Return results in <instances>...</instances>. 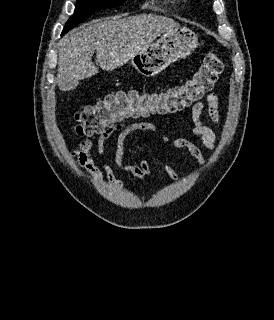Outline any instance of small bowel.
<instances>
[{
	"mask_svg": "<svg viewBox=\"0 0 274 320\" xmlns=\"http://www.w3.org/2000/svg\"><path fill=\"white\" fill-rule=\"evenodd\" d=\"M205 110L213 123L218 124L220 122L219 103L215 94L207 95L205 101H197L191 107L193 134L207 150L213 152L216 147V135L214 130L203 121L202 116ZM137 131L157 133L158 128L149 122L120 124L115 128L106 129L97 135H89L82 139L72 155L76 158L78 166L84 169L90 177L100 181L105 179L108 184L120 189L123 187V183L116 177L113 167L104 160L106 141L114 132H118L113 155L115 166L121 171L137 174L143 179H153L154 173L147 159L143 158L139 164H128L124 161L125 142L132 133ZM171 145L175 148L187 150L200 166L206 164L201 149L193 142L184 138H177L171 142ZM94 153L100 160L99 166L94 160ZM164 171L171 180H180L179 174L171 166L164 165Z\"/></svg>",
	"mask_w": 274,
	"mask_h": 320,
	"instance_id": "c3829d8e",
	"label": "small bowel"
}]
</instances>
